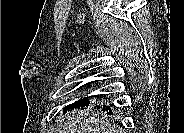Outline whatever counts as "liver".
<instances>
[{"instance_id": "1", "label": "liver", "mask_w": 184, "mask_h": 133, "mask_svg": "<svg viewBox=\"0 0 184 133\" xmlns=\"http://www.w3.org/2000/svg\"><path fill=\"white\" fill-rule=\"evenodd\" d=\"M59 133H118L106 119L91 109L74 110L58 119Z\"/></svg>"}]
</instances>
